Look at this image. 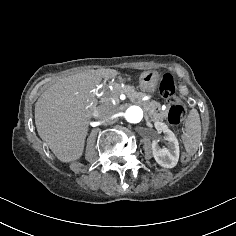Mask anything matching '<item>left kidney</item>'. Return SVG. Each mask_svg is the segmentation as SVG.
Wrapping results in <instances>:
<instances>
[{
    "mask_svg": "<svg viewBox=\"0 0 236 236\" xmlns=\"http://www.w3.org/2000/svg\"><path fill=\"white\" fill-rule=\"evenodd\" d=\"M155 128L158 132H163V139L166 140L167 148H161L157 141H153L152 151L154 159L163 168H174L179 160V144L177 138L164 123L156 122Z\"/></svg>",
    "mask_w": 236,
    "mask_h": 236,
    "instance_id": "left-kidney-1",
    "label": "left kidney"
}]
</instances>
